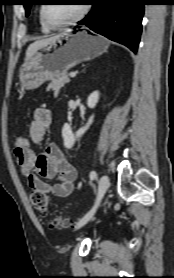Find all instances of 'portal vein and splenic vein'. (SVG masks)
Instances as JSON below:
<instances>
[{
	"label": "portal vein and splenic vein",
	"instance_id": "18ae733b",
	"mask_svg": "<svg viewBox=\"0 0 174 278\" xmlns=\"http://www.w3.org/2000/svg\"><path fill=\"white\" fill-rule=\"evenodd\" d=\"M76 76V73L75 72H72L71 74H70V77H75Z\"/></svg>",
	"mask_w": 174,
	"mask_h": 278
}]
</instances>
